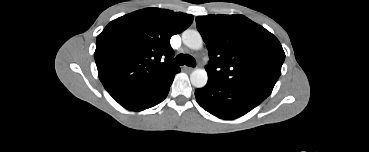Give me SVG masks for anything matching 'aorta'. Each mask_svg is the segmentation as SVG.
<instances>
[{"label":"aorta","mask_w":369,"mask_h":152,"mask_svg":"<svg viewBox=\"0 0 369 152\" xmlns=\"http://www.w3.org/2000/svg\"><path fill=\"white\" fill-rule=\"evenodd\" d=\"M183 43L192 50H199L203 46V39L197 30L187 29L182 34ZM191 83L196 88L207 84L208 75L204 69H195L190 75Z\"/></svg>","instance_id":"obj_1"}]
</instances>
